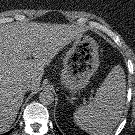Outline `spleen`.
I'll list each match as a JSON object with an SVG mask.
<instances>
[{"label": "spleen", "instance_id": "1", "mask_svg": "<svg viewBox=\"0 0 135 135\" xmlns=\"http://www.w3.org/2000/svg\"><path fill=\"white\" fill-rule=\"evenodd\" d=\"M117 66L106 80L74 113L73 121L90 135H110L121 113L125 96V79Z\"/></svg>", "mask_w": 135, "mask_h": 135}]
</instances>
